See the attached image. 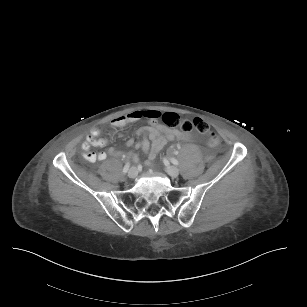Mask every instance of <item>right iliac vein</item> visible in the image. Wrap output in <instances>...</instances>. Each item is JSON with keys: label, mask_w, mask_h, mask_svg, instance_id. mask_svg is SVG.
Returning <instances> with one entry per match:
<instances>
[{"label": "right iliac vein", "mask_w": 307, "mask_h": 307, "mask_svg": "<svg viewBox=\"0 0 307 307\" xmlns=\"http://www.w3.org/2000/svg\"><path fill=\"white\" fill-rule=\"evenodd\" d=\"M138 176V170L136 167H132L130 168V170L128 171V177L130 179H135Z\"/></svg>", "instance_id": "63e3f726"}]
</instances>
